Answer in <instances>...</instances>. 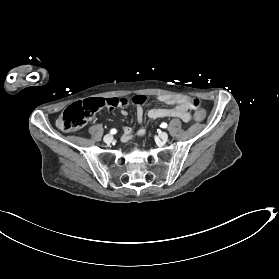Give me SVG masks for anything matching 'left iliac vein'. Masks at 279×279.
Masks as SVG:
<instances>
[{
	"label": "left iliac vein",
	"instance_id": "1",
	"mask_svg": "<svg viewBox=\"0 0 279 279\" xmlns=\"http://www.w3.org/2000/svg\"><path fill=\"white\" fill-rule=\"evenodd\" d=\"M159 137L163 140L166 141L168 139V134L166 132L160 133Z\"/></svg>",
	"mask_w": 279,
	"mask_h": 279
}]
</instances>
